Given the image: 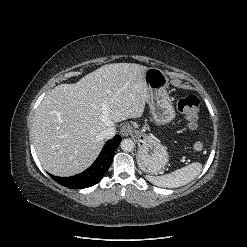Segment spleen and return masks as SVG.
<instances>
[{
  "instance_id": "3e777b00",
  "label": "spleen",
  "mask_w": 247,
  "mask_h": 247,
  "mask_svg": "<svg viewBox=\"0 0 247 247\" xmlns=\"http://www.w3.org/2000/svg\"><path fill=\"white\" fill-rule=\"evenodd\" d=\"M201 170L202 164L194 162L166 175L148 176V180L159 187L175 188L186 185L194 180L200 174Z\"/></svg>"
}]
</instances>
